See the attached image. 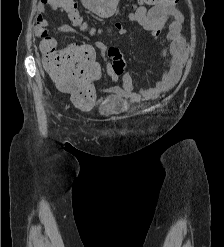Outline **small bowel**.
Instances as JSON below:
<instances>
[{
    "instance_id": "1",
    "label": "small bowel",
    "mask_w": 224,
    "mask_h": 247,
    "mask_svg": "<svg viewBox=\"0 0 224 247\" xmlns=\"http://www.w3.org/2000/svg\"><path fill=\"white\" fill-rule=\"evenodd\" d=\"M84 6L101 18L111 17L116 9L118 0H81ZM53 10L60 9V0H38L36 13V33L41 39L40 49L44 56H47L51 50L52 44L45 39L49 20L45 12L47 8ZM128 20L141 26L143 29L151 32L156 38L160 35L164 26L168 24L166 39L169 41V47L162 50V56L168 58L167 66L162 73L161 79L156 83L143 87L140 90L135 89V84L130 73H125L122 78L123 85L115 88L114 93L118 96L130 99L132 102H138L142 99H154L170 91L179 81L182 69L187 59V40L183 35L184 16L177 7V3L168 7L140 6L128 14ZM114 29L118 34L124 35L126 28L123 23L116 21ZM61 33H74L75 29L67 24L60 26ZM94 47L100 52H105L107 46L101 41H97ZM114 81L119 76L111 69L109 70Z\"/></svg>"
}]
</instances>
